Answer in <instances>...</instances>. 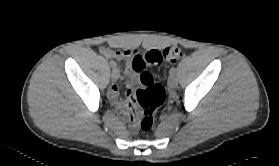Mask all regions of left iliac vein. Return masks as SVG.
Masks as SVG:
<instances>
[{
	"instance_id": "4c4485c4",
	"label": "left iliac vein",
	"mask_w": 279,
	"mask_h": 166,
	"mask_svg": "<svg viewBox=\"0 0 279 166\" xmlns=\"http://www.w3.org/2000/svg\"><path fill=\"white\" fill-rule=\"evenodd\" d=\"M178 84L177 78L174 74H171L168 78V86L170 88H175Z\"/></svg>"
}]
</instances>
